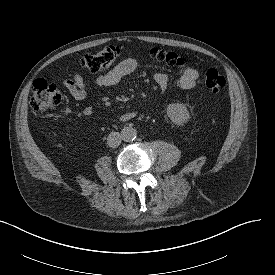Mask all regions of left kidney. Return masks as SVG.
<instances>
[{
  "label": "left kidney",
  "instance_id": "left-kidney-1",
  "mask_svg": "<svg viewBox=\"0 0 275 275\" xmlns=\"http://www.w3.org/2000/svg\"><path fill=\"white\" fill-rule=\"evenodd\" d=\"M167 115L176 125H183L189 118V112L184 104H169L167 107Z\"/></svg>",
  "mask_w": 275,
  "mask_h": 275
}]
</instances>
